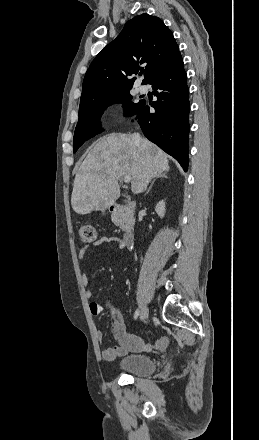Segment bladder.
Instances as JSON below:
<instances>
[{"label":"bladder","instance_id":"31cf9c89","mask_svg":"<svg viewBox=\"0 0 259 440\" xmlns=\"http://www.w3.org/2000/svg\"><path fill=\"white\" fill-rule=\"evenodd\" d=\"M118 369L132 376L147 377L156 371L157 364L154 359L147 354L133 353L119 360Z\"/></svg>","mask_w":259,"mask_h":440}]
</instances>
